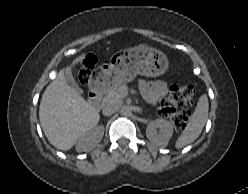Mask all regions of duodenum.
Masks as SVG:
<instances>
[{"instance_id": "410a0bca", "label": "duodenum", "mask_w": 248, "mask_h": 194, "mask_svg": "<svg viewBox=\"0 0 248 194\" xmlns=\"http://www.w3.org/2000/svg\"><path fill=\"white\" fill-rule=\"evenodd\" d=\"M101 86L95 84L91 88L88 96V105L92 109L98 108L100 104Z\"/></svg>"}]
</instances>
